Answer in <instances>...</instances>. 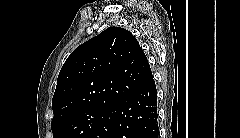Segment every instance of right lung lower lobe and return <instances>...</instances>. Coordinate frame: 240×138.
<instances>
[{
    "label": "right lung lower lobe",
    "mask_w": 240,
    "mask_h": 138,
    "mask_svg": "<svg viewBox=\"0 0 240 138\" xmlns=\"http://www.w3.org/2000/svg\"><path fill=\"white\" fill-rule=\"evenodd\" d=\"M154 79L111 106L89 138H158Z\"/></svg>",
    "instance_id": "98d812e1"
}]
</instances>
